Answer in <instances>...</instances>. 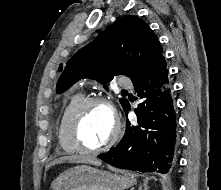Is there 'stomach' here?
<instances>
[{"label": "stomach", "instance_id": "obj_1", "mask_svg": "<svg viewBox=\"0 0 221 190\" xmlns=\"http://www.w3.org/2000/svg\"><path fill=\"white\" fill-rule=\"evenodd\" d=\"M135 183L130 175L81 165L62 172L52 183V190H125Z\"/></svg>", "mask_w": 221, "mask_h": 190}]
</instances>
